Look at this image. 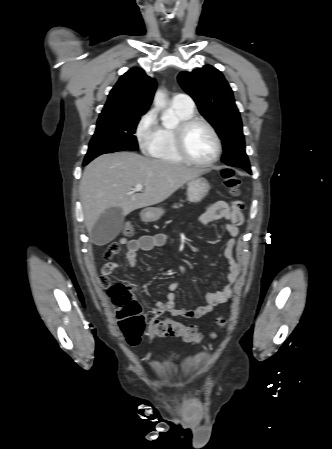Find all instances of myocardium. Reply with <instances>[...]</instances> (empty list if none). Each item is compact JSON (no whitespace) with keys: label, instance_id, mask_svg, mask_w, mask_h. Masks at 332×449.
Returning a JSON list of instances; mask_svg holds the SVG:
<instances>
[{"label":"myocardium","instance_id":"myocardium-1","mask_svg":"<svg viewBox=\"0 0 332 449\" xmlns=\"http://www.w3.org/2000/svg\"><path fill=\"white\" fill-rule=\"evenodd\" d=\"M196 124H202L204 125L212 134L213 139L215 141V153L214 156L205 162L195 160L192 158L185 145V137L186 133L189 128ZM174 146L177 154L180 156V158L192 165L198 166V167H210L214 165L220 158L222 153V143L220 136L214 126L209 123L207 120L199 117H190L188 119H185L183 121L178 122L174 127Z\"/></svg>","mask_w":332,"mask_h":449}]
</instances>
